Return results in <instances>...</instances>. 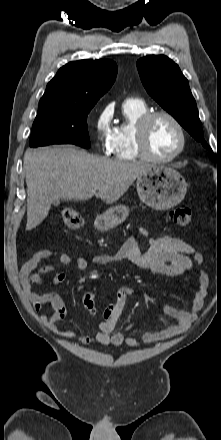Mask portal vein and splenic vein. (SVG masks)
<instances>
[{
    "instance_id": "1",
    "label": "portal vein and splenic vein",
    "mask_w": 221,
    "mask_h": 440,
    "mask_svg": "<svg viewBox=\"0 0 221 440\" xmlns=\"http://www.w3.org/2000/svg\"><path fill=\"white\" fill-rule=\"evenodd\" d=\"M98 188H99V187L96 186V187L94 188V190H97Z\"/></svg>"
}]
</instances>
